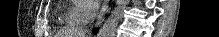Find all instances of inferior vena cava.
<instances>
[{
  "label": "inferior vena cava",
  "mask_w": 219,
  "mask_h": 37,
  "mask_svg": "<svg viewBox=\"0 0 219 37\" xmlns=\"http://www.w3.org/2000/svg\"><path fill=\"white\" fill-rule=\"evenodd\" d=\"M98 11H99V7L97 5H93L91 8H90V12H89V16H88V20L90 23H93V21L95 20V18L97 17V14H98ZM84 34H90V30L89 28H85V30L83 31Z\"/></svg>",
  "instance_id": "inferior-vena-cava-1"
}]
</instances>
